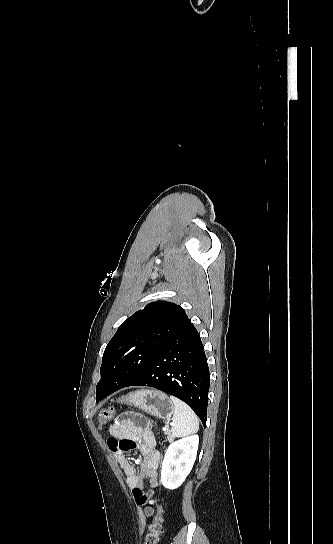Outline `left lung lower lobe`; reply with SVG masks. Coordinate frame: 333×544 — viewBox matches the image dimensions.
Masks as SVG:
<instances>
[{
	"instance_id": "obj_1",
	"label": "left lung lower lobe",
	"mask_w": 333,
	"mask_h": 544,
	"mask_svg": "<svg viewBox=\"0 0 333 544\" xmlns=\"http://www.w3.org/2000/svg\"><path fill=\"white\" fill-rule=\"evenodd\" d=\"M209 379L207 358L200 335L187 318L144 370L124 387L150 386L171 394L187 403L205 427ZM111 393L113 392L96 394V401H101Z\"/></svg>"
}]
</instances>
